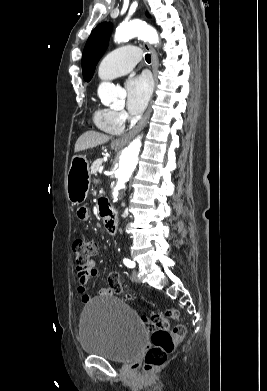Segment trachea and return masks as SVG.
Masks as SVG:
<instances>
[{"mask_svg": "<svg viewBox=\"0 0 267 391\" xmlns=\"http://www.w3.org/2000/svg\"><path fill=\"white\" fill-rule=\"evenodd\" d=\"M145 60H146L147 63L151 62L150 54H146L145 55Z\"/></svg>", "mask_w": 267, "mask_h": 391, "instance_id": "trachea-1", "label": "trachea"}]
</instances>
